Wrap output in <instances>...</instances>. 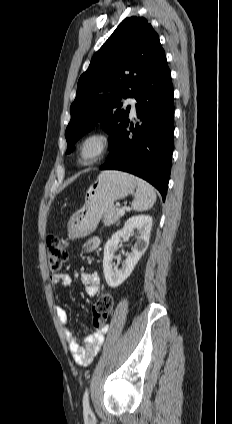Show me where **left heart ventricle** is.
I'll return each mask as SVG.
<instances>
[{"label": "left heart ventricle", "instance_id": "left-heart-ventricle-1", "mask_svg": "<svg viewBox=\"0 0 232 424\" xmlns=\"http://www.w3.org/2000/svg\"><path fill=\"white\" fill-rule=\"evenodd\" d=\"M95 148H96V142L91 141L86 145L85 150L87 153H91Z\"/></svg>", "mask_w": 232, "mask_h": 424}]
</instances>
